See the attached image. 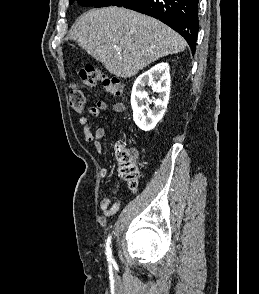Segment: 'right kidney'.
<instances>
[{
    "label": "right kidney",
    "mask_w": 259,
    "mask_h": 294,
    "mask_svg": "<svg viewBox=\"0 0 259 294\" xmlns=\"http://www.w3.org/2000/svg\"><path fill=\"white\" fill-rule=\"evenodd\" d=\"M170 83L169 64L164 62L142 73L134 82L131 93L133 120L141 130H152L162 119L169 101ZM147 85H151L153 91L159 94L153 101V110L149 109L148 103L144 105V99L148 100V93L145 91Z\"/></svg>",
    "instance_id": "obj_1"
}]
</instances>
